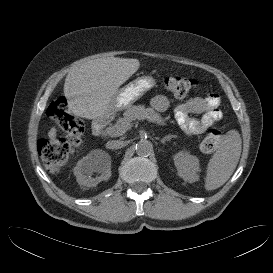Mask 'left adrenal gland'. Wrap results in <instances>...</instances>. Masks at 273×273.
Instances as JSON below:
<instances>
[{
	"label": "left adrenal gland",
	"instance_id": "obj_1",
	"mask_svg": "<svg viewBox=\"0 0 273 273\" xmlns=\"http://www.w3.org/2000/svg\"><path fill=\"white\" fill-rule=\"evenodd\" d=\"M176 136H174V135H167V136H165V137H163L161 140H160V142L162 143V144H164L166 141H170L172 138H175Z\"/></svg>",
	"mask_w": 273,
	"mask_h": 273
}]
</instances>
